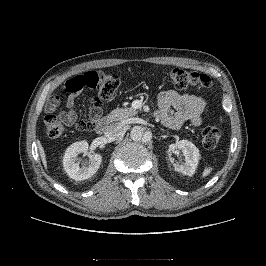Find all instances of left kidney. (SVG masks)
I'll list each match as a JSON object with an SVG mask.
<instances>
[{
    "mask_svg": "<svg viewBox=\"0 0 266 266\" xmlns=\"http://www.w3.org/2000/svg\"><path fill=\"white\" fill-rule=\"evenodd\" d=\"M177 149L181 150L185 157V163L183 164L173 163L171 159L172 153H174ZM168 156L170 161L173 163L176 172L192 176L197 168L200 154L199 149L192 142L188 140H181L175 144L169 145Z\"/></svg>",
    "mask_w": 266,
    "mask_h": 266,
    "instance_id": "left-kidney-1",
    "label": "left kidney"
}]
</instances>
